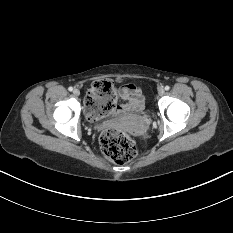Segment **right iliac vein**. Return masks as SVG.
Returning a JSON list of instances; mask_svg holds the SVG:
<instances>
[{"instance_id": "obj_1", "label": "right iliac vein", "mask_w": 233, "mask_h": 233, "mask_svg": "<svg viewBox=\"0 0 233 233\" xmlns=\"http://www.w3.org/2000/svg\"><path fill=\"white\" fill-rule=\"evenodd\" d=\"M73 94L75 96H79L80 95V91L78 89H74Z\"/></svg>"}]
</instances>
